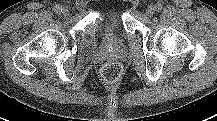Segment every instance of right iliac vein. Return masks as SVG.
Returning a JSON list of instances; mask_svg holds the SVG:
<instances>
[{
  "label": "right iliac vein",
  "mask_w": 217,
  "mask_h": 121,
  "mask_svg": "<svg viewBox=\"0 0 217 121\" xmlns=\"http://www.w3.org/2000/svg\"><path fill=\"white\" fill-rule=\"evenodd\" d=\"M62 14H63L65 17H67V16H69L70 11H69L67 8H66V9H63Z\"/></svg>",
  "instance_id": "1"
}]
</instances>
